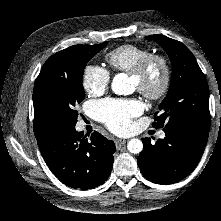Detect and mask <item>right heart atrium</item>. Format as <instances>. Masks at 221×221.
<instances>
[{"label": "right heart atrium", "instance_id": "1", "mask_svg": "<svg viewBox=\"0 0 221 221\" xmlns=\"http://www.w3.org/2000/svg\"><path fill=\"white\" fill-rule=\"evenodd\" d=\"M111 76L106 69L88 64L82 75V84L85 91L90 95H98L107 90L110 85Z\"/></svg>", "mask_w": 221, "mask_h": 221}]
</instances>
